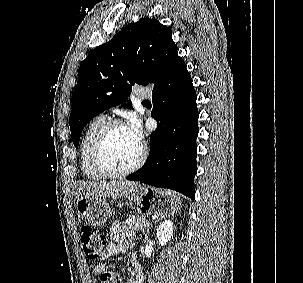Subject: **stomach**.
Instances as JSON below:
<instances>
[{
	"label": "stomach",
	"instance_id": "1",
	"mask_svg": "<svg viewBox=\"0 0 303 283\" xmlns=\"http://www.w3.org/2000/svg\"><path fill=\"white\" fill-rule=\"evenodd\" d=\"M136 207L142 214L164 216L181 208L178 194L151 187L139 188L133 192ZM79 216L93 226L103 225L112 214V209L104 197L80 196L76 201Z\"/></svg>",
	"mask_w": 303,
	"mask_h": 283
}]
</instances>
